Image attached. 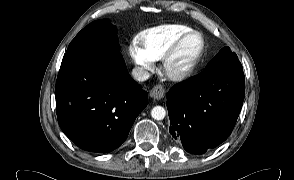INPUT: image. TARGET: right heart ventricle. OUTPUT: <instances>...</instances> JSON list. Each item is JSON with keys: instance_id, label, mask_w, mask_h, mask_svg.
I'll return each instance as SVG.
<instances>
[{"instance_id": "obj_1", "label": "right heart ventricle", "mask_w": 294, "mask_h": 180, "mask_svg": "<svg viewBox=\"0 0 294 180\" xmlns=\"http://www.w3.org/2000/svg\"><path fill=\"white\" fill-rule=\"evenodd\" d=\"M192 30L183 24H165L141 30L137 40L153 60H159L180 37Z\"/></svg>"}]
</instances>
